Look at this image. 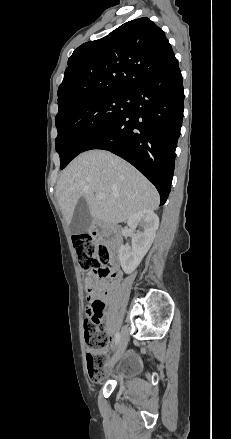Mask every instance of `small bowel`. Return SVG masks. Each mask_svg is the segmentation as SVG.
I'll use <instances>...</instances> for the list:
<instances>
[{
    "label": "small bowel",
    "instance_id": "1",
    "mask_svg": "<svg viewBox=\"0 0 231 439\" xmlns=\"http://www.w3.org/2000/svg\"><path fill=\"white\" fill-rule=\"evenodd\" d=\"M87 284L89 285V289L87 290V299H98L100 300L103 305L108 301L109 295L106 293V290L113 289L114 287H107L105 290L101 289L99 287V279L94 275L90 274L89 276L85 277ZM86 314L90 317L91 311L89 309L86 310ZM104 316V309L102 314L99 316V322L102 324V319ZM87 321L85 322V324ZM108 346L106 345L103 347L99 352L105 353L107 351Z\"/></svg>",
    "mask_w": 231,
    "mask_h": 439
}]
</instances>
